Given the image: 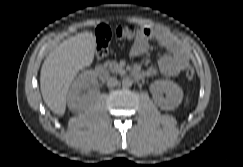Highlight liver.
<instances>
[{
  "label": "liver",
  "instance_id": "obj_1",
  "mask_svg": "<svg viewBox=\"0 0 243 167\" xmlns=\"http://www.w3.org/2000/svg\"><path fill=\"white\" fill-rule=\"evenodd\" d=\"M95 47V36L86 31L63 41L44 60L40 73L41 93L55 114L64 115L69 87L76 74L92 64Z\"/></svg>",
  "mask_w": 243,
  "mask_h": 167
}]
</instances>
